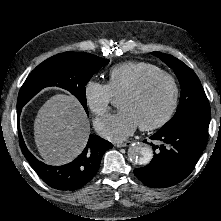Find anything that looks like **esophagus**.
<instances>
[{
	"label": "esophagus",
	"mask_w": 221,
	"mask_h": 221,
	"mask_svg": "<svg viewBox=\"0 0 221 221\" xmlns=\"http://www.w3.org/2000/svg\"><path fill=\"white\" fill-rule=\"evenodd\" d=\"M133 141H126L124 143H116L115 146L118 148L127 147L132 145Z\"/></svg>",
	"instance_id": "esophagus-1"
}]
</instances>
